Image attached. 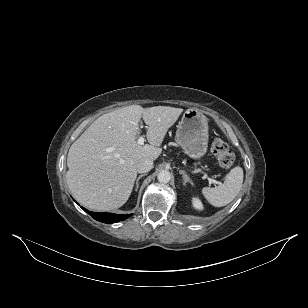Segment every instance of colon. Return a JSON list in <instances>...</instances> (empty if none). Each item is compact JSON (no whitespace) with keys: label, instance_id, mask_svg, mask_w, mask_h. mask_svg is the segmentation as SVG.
<instances>
[{"label":"colon","instance_id":"5ec220e1","mask_svg":"<svg viewBox=\"0 0 308 308\" xmlns=\"http://www.w3.org/2000/svg\"><path fill=\"white\" fill-rule=\"evenodd\" d=\"M211 151L222 169L227 170L233 165L234 154L223 139L214 138L211 142Z\"/></svg>","mask_w":308,"mask_h":308}]
</instances>
